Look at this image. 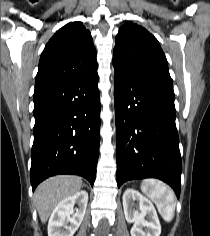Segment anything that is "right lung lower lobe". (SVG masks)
Listing matches in <instances>:
<instances>
[{
    "mask_svg": "<svg viewBox=\"0 0 210 236\" xmlns=\"http://www.w3.org/2000/svg\"><path fill=\"white\" fill-rule=\"evenodd\" d=\"M97 70L34 95L33 191L57 174L85 177L93 186L100 143Z\"/></svg>",
    "mask_w": 210,
    "mask_h": 236,
    "instance_id": "1",
    "label": "right lung lower lobe"
}]
</instances>
